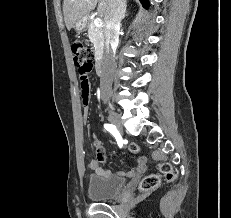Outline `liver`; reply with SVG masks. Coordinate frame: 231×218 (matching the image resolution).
<instances>
[{
    "label": "liver",
    "mask_w": 231,
    "mask_h": 218,
    "mask_svg": "<svg viewBox=\"0 0 231 218\" xmlns=\"http://www.w3.org/2000/svg\"><path fill=\"white\" fill-rule=\"evenodd\" d=\"M98 4V14L106 17L110 9V0H63L64 20L68 30L73 28L76 21L86 18Z\"/></svg>",
    "instance_id": "6515ba94"
}]
</instances>
